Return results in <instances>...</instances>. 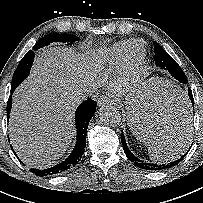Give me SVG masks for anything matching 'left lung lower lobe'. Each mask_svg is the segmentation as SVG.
I'll return each instance as SVG.
<instances>
[{"label":"left lung lower lobe","instance_id":"left-lung-lower-lobe-1","mask_svg":"<svg viewBox=\"0 0 203 203\" xmlns=\"http://www.w3.org/2000/svg\"><path fill=\"white\" fill-rule=\"evenodd\" d=\"M155 63L157 66L163 68L164 70H168L169 73L174 78H176L178 81H180L182 83H187V78H186L184 72L168 53H166V52L160 53L156 57ZM188 95H189L191 103L194 107L192 91L190 89H188ZM184 105H186V104H184ZM136 109H137L136 111L139 113L138 117H139L140 121L145 122V125H149V126L156 125L157 118L160 116V113L163 112V111L160 112L156 107H153L150 104V102H148L145 98L137 103ZM188 111L190 112V109H188L187 106H184V111L179 112V114H176V115L182 116V119H180V120H182L181 121L182 123H181V125H179V128H178V130H180L182 133L180 134V136H177L175 139H178L179 137L183 136V134L186 133L187 128H189V130H190V121H189V123H186L187 120H190V113ZM175 139H173V140H175ZM121 142L123 145L124 152H125L126 156L129 158V160L131 162H133L134 165H136L137 167L145 169V170L159 171V170L168 169L170 167L177 165L187 154L186 153L180 159L173 161L169 164L148 163V162H144V161L138 159L136 156H134L130 152V150L127 147L123 132L121 133ZM189 150H190V148H189Z\"/></svg>","mask_w":203,"mask_h":203}]
</instances>
